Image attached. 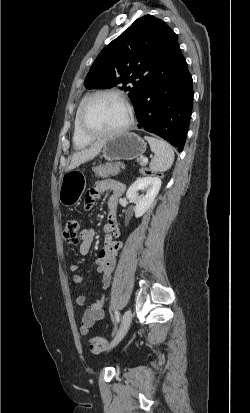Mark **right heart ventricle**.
Returning <instances> with one entry per match:
<instances>
[{"label":"right heart ventricle","mask_w":250,"mask_h":413,"mask_svg":"<svg viewBox=\"0 0 250 413\" xmlns=\"http://www.w3.org/2000/svg\"><path fill=\"white\" fill-rule=\"evenodd\" d=\"M86 98L87 96H83L81 100L79 101L78 106L75 111V116H74V121H73L72 141H73L74 147L78 149L86 147L92 141V139H89L86 136H84L81 133L80 128H79V114H80L81 107L84 101L86 100Z\"/></svg>","instance_id":"right-heart-ventricle-1"}]
</instances>
